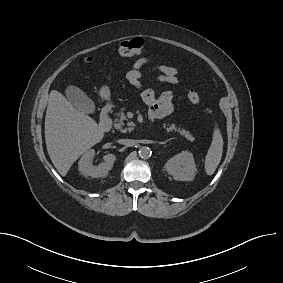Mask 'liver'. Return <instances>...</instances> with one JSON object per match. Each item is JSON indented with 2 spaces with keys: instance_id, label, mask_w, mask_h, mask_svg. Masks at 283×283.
Masks as SVG:
<instances>
[{
  "instance_id": "6515ba94",
  "label": "liver",
  "mask_w": 283,
  "mask_h": 283,
  "mask_svg": "<svg viewBox=\"0 0 283 283\" xmlns=\"http://www.w3.org/2000/svg\"><path fill=\"white\" fill-rule=\"evenodd\" d=\"M104 137L94 119L77 110L58 91L49 94L45 117V142L49 157L62 175L72 164Z\"/></svg>"
}]
</instances>
